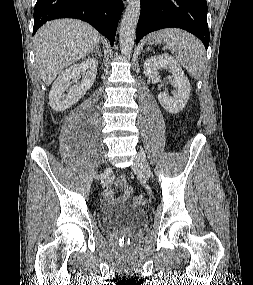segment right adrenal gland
<instances>
[{"instance_id":"obj_1","label":"right adrenal gland","mask_w":253,"mask_h":285,"mask_svg":"<svg viewBox=\"0 0 253 285\" xmlns=\"http://www.w3.org/2000/svg\"><path fill=\"white\" fill-rule=\"evenodd\" d=\"M93 53H97L99 57H102V54L99 51V47L98 46H96L95 49L91 52V54H93Z\"/></svg>"}]
</instances>
